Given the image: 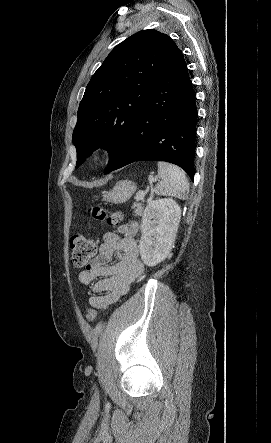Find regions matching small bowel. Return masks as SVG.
Returning <instances> with one entry per match:
<instances>
[{
  "label": "small bowel",
  "mask_w": 271,
  "mask_h": 443,
  "mask_svg": "<svg viewBox=\"0 0 271 443\" xmlns=\"http://www.w3.org/2000/svg\"><path fill=\"white\" fill-rule=\"evenodd\" d=\"M137 231L133 225L124 237L107 232L97 256L79 273L83 285H91L93 296L89 299L92 308L106 310L124 295L131 283L143 272L138 245L134 239ZM114 257L117 262L112 263Z\"/></svg>",
  "instance_id": "c3829d8e"
}]
</instances>
